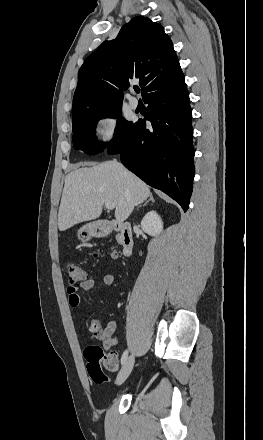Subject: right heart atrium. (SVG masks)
I'll list each match as a JSON object with an SVG mask.
<instances>
[{
  "instance_id": "d8ad5b80",
  "label": "right heart atrium",
  "mask_w": 263,
  "mask_h": 440,
  "mask_svg": "<svg viewBox=\"0 0 263 440\" xmlns=\"http://www.w3.org/2000/svg\"><path fill=\"white\" fill-rule=\"evenodd\" d=\"M118 118L112 113H105L98 117L95 122V134L103 144L113 142L118 134Z\"/></svg>"
}]
</instances>
